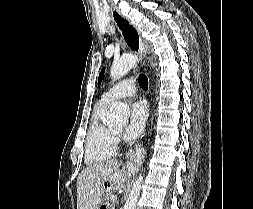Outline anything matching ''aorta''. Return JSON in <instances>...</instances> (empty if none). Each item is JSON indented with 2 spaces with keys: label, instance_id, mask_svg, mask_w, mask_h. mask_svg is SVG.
I'll use <instances>...</instances> for the list:
<instances>
[{
  "label": "aorta",
  "instance_id": "762f6f07",
  "mask_svg": "<svg viewBox=\"0 0 253 209\" xmlns=\"http://www.w3.org/2000/svg\"><path fill=\"white\" fill-rule=\"evenodd\" d=\"M137 57L133 54L122 56L119 60L115 61L110 69V76L114 80L122 78L127 74L136 64ZM129 108L124 103L116 102L112 105L110 113L107 117V123L110 125H122L128 121ZM143 175L140 173L135 180L133 187L130 191L129 197L125 203L124 209H135L136 203L140 196L142 187Z\"/></svg>",
  "mask_w": 253,
  "mask_h": 209
}]
</instances>
